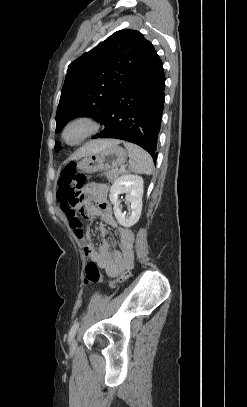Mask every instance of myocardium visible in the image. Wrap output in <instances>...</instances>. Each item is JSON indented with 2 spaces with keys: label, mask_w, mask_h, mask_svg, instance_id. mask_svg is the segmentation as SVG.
<instances>
[{
  "label": "myocardium",
  "mask_w": 247,
  "mask_h": 407,
  "mask_svg": "<svg viewBox=\"0 0 247 407\" xmlns=\"http://www.w3.org/2000/svg\"><path fill=\"white\" fill-rule=\"evenodd\" d=\"M75 126H82L83 131L73 140L67 137L68 132ZM99 130V123L90 115L80 114L69 119L61 130V141L69 147H75L82 144L89 137L93 136Z\"/></svg>",
  "instance_id": "f54148a6"
}]
</instances>
